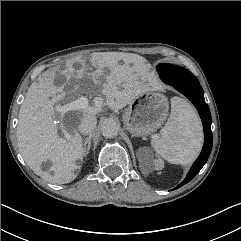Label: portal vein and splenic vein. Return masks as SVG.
<instances>
[{"instance_id":"obj_1","label":"portal vein and splenic vein","mask_w":241,"mask_h":241,"mask_svg":"<svg viewBox=\"0 0 241 241\" xmlns=\"http://www.w3.org/2000/svg\"><path fill=\"white\" fill-rule=\"evenodd\" d=\"M87 106H88V99L85 97H81L70 104H66L62 107H57V110L64 113L66 110H77L81 108H86Z\"/></svg>"}]
</instances>
